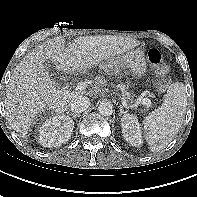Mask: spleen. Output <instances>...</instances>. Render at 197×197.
<instances>
[{
	"label": "spleen",
	"instance_id": "obj_1",
	"mask_svg": "<svg viewBox=\"0 0 197 197\" xmlns=\"http://www.w3.org/2000/svg\"><path fill=\"white\" fill-rule=\"evenodd\" d=\"M187 106L186 88L182 82L172 83L161 107L143 120L145 139L152 152L164 149L183 124Z\"/></svg>",
	"mask_w": 197,
	"mask_h": 197
}]
</instances>
